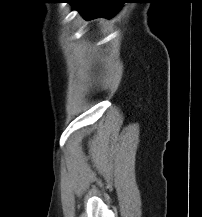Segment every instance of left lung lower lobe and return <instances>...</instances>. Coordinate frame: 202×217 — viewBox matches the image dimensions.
Here are the masks:
<instances>
[{"label": "left lung lower lobe", "mask_w": 202, "mask_h": 217, "mask_svg": "<svg viewBox=\"0 0 202 217\" xmlns=\"http://www.w3.org/2000/svg\"><path fill=\"white\" fill-rule=\"evenodd\" d=\"M76 9L85 16L86 20L95 18H111L124 3L123 0H70Z\"/></svg>", "instance_id": "0a47b994"}]
</instances>
